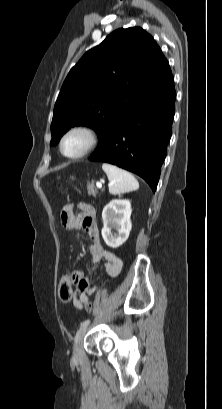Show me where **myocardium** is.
<instances>
[{
    "label": "myocardium",
    "instance_id": "obj_1",
    "mask_svg": "<svg viewBox=\"0 0 222 409\" xmlns=\"http://www.w3.org/2000/svg\"><path fill=\"white\" fill-rule=\"evenodd\" d=\"M77 132L83 133L86 135L87 143L80 152L75 153V154H68L64 151V142L68 138L69 135L73 133H77ZM98 143H99V133L94 127L87 125V124H78V125L71 126L63 133L59 141V150L61 154L68 159H79V158H82L88 155L93 149L96 148Z\"/></svg>",
    "mask_w": 222,
    "mask_h": 409
}]
</instances>
